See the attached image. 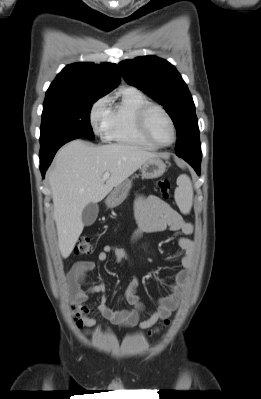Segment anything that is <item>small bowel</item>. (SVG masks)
I'll return each mask as SVG.
<instances>
[{
  "mask_svg": "<svg viewBox=\"0 0 261 399\" xmlns=\"http://www.w3.org/2000/svg\"><path fill=\"white\" fill-rule=\"evenodd\" d=\"M134 213L138 227L133 233V242H136L144 233L159 232L167 228L182 234L176 241L178 247L184 252L180 259L182 268L174 274L173 281L169 285V292L159 299L158 307L148 312L145 320H140L144 308L136 294L139 279L134 277L124 295L126 302L132 305L133 308L112 309L107 304L106 288L102 282L87 288L83 286L87 274L95 267L93 261L82 260L76 262L67 273L66 282L73 302L84 305L91 294H99L101 300L98 305V312L102 318L122 327L136 326L140 329H148L168 318L185 295L195 251L193 241L187 236L192 233L193 227L168 202L155 195H139L135 200ZM109 255L113 257L116 263L131 261V256L125 249L111 245L103 247L97 255V260L104 262ZM97 323L98 321L95 317L84 315L83 324L86 327H95Z\"/></svg>",
  "mask_w": 261,
  "mask_h": 399,
  "instance_id": "obj_1",
  "label": "small bowel"
}]
</instances>
